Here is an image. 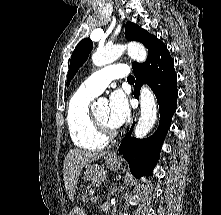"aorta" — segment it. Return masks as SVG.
I'll use <instances>...</instances> for the list:
<instances>
[{"label": "aorta", "mask_w": 221, "mask_h": 215, "mask_svg": "<svg viewBox=\"0 0 221 215\" xmlns=\"http://www.w3.org/2000/svg\"><path fill=\"white\" fill-rule=\"evenodd\" d=\"M125 50L137 62H144L147 58L145 47L140 43L133 42L127 45L117 44L100 49L92 55V62L96 66L107 65L121 57ZM140 108L141 116L134 130L137 138L145 137L153 128L157 118L155 97L151 89L146 85L141 88Z\"/></svg>", "instance_id": "1"}]
</instances>
